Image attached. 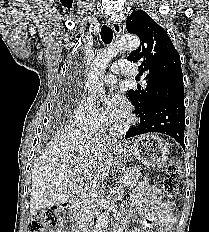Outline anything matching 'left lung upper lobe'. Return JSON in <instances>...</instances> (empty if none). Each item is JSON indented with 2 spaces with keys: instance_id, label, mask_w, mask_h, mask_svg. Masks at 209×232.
<instances>
[{
  "instance_id": "1",
  "label": "left lung upper lobe",
  "mask_w": 209,
  "mask_h": 232,
  "mask_svg": "<svg viewBox=\"0 0 209 232\" xmlns=\"http://www.w3.org/2000/svg\"><path fill=\"white\" fill-rule=\"evenodd\" d=\"M126 28L141 41L127 60L141 62L139 75H143L147 83L145 87L138 85L137 89L128 91L136 114H143L158 104L184 102L180 56L167 32L142 10L131 13Z\"/></svg>"
}]
</instances>
